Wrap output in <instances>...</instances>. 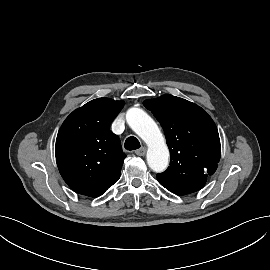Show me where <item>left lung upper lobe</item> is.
Listing matches in <instances>:
<instances>
[{"mask_svg": "<svg viewBox=\"0 0 270 270\" xmlns=\"http://www.w3.org/2000/svg\"><path fill=\"white\" fill-rule=\"evenodd\" d=\"M164 129L170 166L157 179L169 191L186 195L200 190L217 169L221 148L217 127L198 105L162 95L143 102Z\"/></svg>", "mask_w": 270, "mask_h": 270, "instance_id": "left-lung-upper-lobe-1", "label": "left lung upper lobe"}]
</instances>
